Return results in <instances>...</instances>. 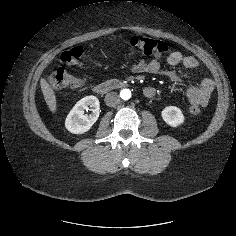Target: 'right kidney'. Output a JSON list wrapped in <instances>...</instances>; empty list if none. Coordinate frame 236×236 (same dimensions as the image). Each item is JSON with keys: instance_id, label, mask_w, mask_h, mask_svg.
I'll return each instance as SVG.
<instances>
[{"instance_id": "right-kidney-1", "label": "right kidney", "mask_w": 236, "mask_h": 236, "mask_svg": "<svg viewBox=\"0 0 236 236\" xmlns=\"http://www.w3.org/2000/svg\"><path fill=\"white\" fill-rule=\"evenodd\" d=\"M91 107L92 113L84 114ZM100 114V103L95 96H86L78 101L65 120L66 129L73 134L87 132L96 122Z\"/></svg>"}]
</instances>
